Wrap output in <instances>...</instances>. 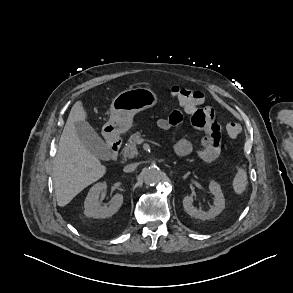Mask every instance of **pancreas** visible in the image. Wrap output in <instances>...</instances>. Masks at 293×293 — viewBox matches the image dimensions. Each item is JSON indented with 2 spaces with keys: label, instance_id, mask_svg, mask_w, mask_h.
<instances>
[{
  "label": "pancreas",
  "instance_id": "cf45deb5",
  "mask_svg": "<svg viewBox=\"0 0 293 293\" xmlns=\"http://www.w3.org/2000/svg\"><path fill=\"white\" fill-rule=\"evenodd\" d=\"M142 136L143 135L141 134V132H136L135 134H132L130 136V138L128 139V143L126 144V147L124 148L123 155L125 158H134L138 154L136 145Z\"/></svg>",
  "mask_w": 293,
  "mask_h": 293
}]
</instances>
